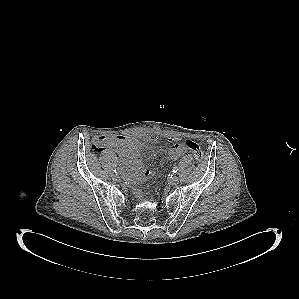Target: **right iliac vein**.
Wrapping results in <instances>:
<instances>
[{
    "label": "right iliac vein",
    "instance_id": "1",
    "mask_svg": "<svg viewBox=\"0 0 299 299\" xmlns=\"http://www.w3.org/2000/svg\"><path fill=\"white\" fill-rule=\"evenodd\" d=\"M113 180L119 182V181H121V178L119 175H114Z\"/></svg>",
    "mask_w": 299,
    "mask_h": 299
}]
</instances>
